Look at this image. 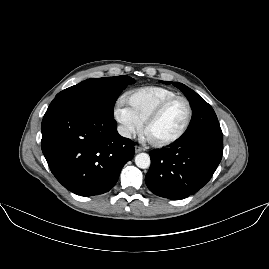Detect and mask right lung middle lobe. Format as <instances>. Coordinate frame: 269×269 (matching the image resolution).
<instances>
[{
  "label": "right lung middle lobe",
  "mask_w": 269,
  "mask_h": 269,
  "mask_svg": "<svg viewBox=\"0 0 269 269\" xmlns=\"http://www.w3.org/2000/svg\"><path fill=\"white\" fill-rule=\"evenodd\" d=\"M135 80L129 76L87 79L59 92L52 102L59 100L87 105L113 116V108L120 92Z\"/></svg>",
  "instance_id": "1"
}]
</instances>
